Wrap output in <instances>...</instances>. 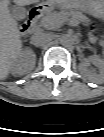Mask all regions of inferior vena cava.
I'll return each instance as SVG.
<instances>
[{"label": "inferior vena cava", "instance_id": "obj_1", "mask_svg": "<svg viewBox=\"0 0 104 137\" xmlns=\"http://www.w3.org/2000/svg\"><path fill=\"white\" fill-rule=\"evenodd\" d=\"M47 40H48V36L43 32H36L31 37V43L37 47L44 45L47 42Z\"/></svg>", "mask_w": 104, "mask_h": 137}]
</instances>
